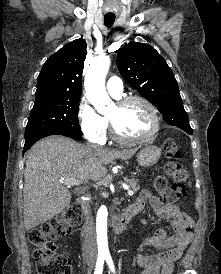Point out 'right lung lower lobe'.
<instances>
[{
	"mask_svg": "<svg viewBox=\"0 0 221 274\" xmlns=\"http://www.w3.org/2000/svg\"><path fill=\"white\" fill-rule=\"evenodd\" d=\"M50 135H63V136H67L73 139H81V135L73 133V132H69V131H64V130H49V131H45V132H41L38 133L36 135H33L31 137L25 138V145H24V152H26L28 149H30V147L39 139L50 136Z\"/></svg>",
	"mask_w": 221,
	"mask_h": 274,
	"instance_id": "1",
	"label": "right lung lower lobe"
}]
</instances>
